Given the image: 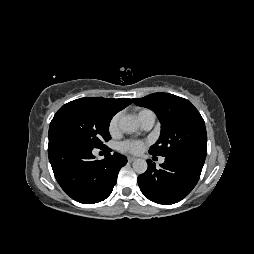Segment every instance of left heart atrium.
<instances>
[{"instance_id":"left-heart-atrium-1","label":"left heart atrium","mask_w":254,"mask_h":254,"mask_svg":"<svg viewBox=\"0 0 254 254\" xmlns=\"http://www.w3.org/2000/svg\"><path fill=\"white\" fill-rule=\"evenodd\" d=\"M123 152L139 153L144 148V142L138 140L124 141L119 146Z\"/></svg>"}]
</instances>
